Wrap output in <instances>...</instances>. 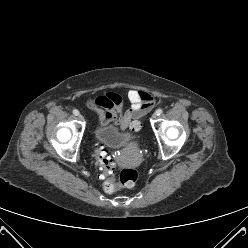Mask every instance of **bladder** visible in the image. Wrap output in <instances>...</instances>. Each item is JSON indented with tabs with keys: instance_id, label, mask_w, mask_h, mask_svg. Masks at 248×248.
<instances>
[{
	"instance_id": "bladder-1",
	"label": "bladder",
	"mask_w": 248,
	"mask_h": 248,
	"mask_svg": "<svg viewBox=\"0 0 248 248\" xmlns=\"http://www.w3.org/2000/svg\"><path fill=\"white\" fill-rule=\"evenodd\" d=\"M94 135L101 144L111 148L124 147L133 137L131 133L121 131L112 124L99 125Z\"/></svg>"
}]
</instances>
